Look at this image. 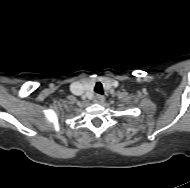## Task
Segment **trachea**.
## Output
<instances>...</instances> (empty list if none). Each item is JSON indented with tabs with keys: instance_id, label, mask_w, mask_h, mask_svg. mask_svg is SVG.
Here are the masks:
<instances>
[{
	"instance_id": "obj_1",
	"label": "trachea",
	"mask_w": 190,
	"mask_h": 188,
	"mask_svg": "<svg viewBox=\"0 0 190 188\" xmlns=\"http://www.w3.org/2000/svg\"><path fill=\"white\" fill-rule=\"evenodd\" d=\"M94 91L98 94H103V86L100 82H97Z\"/></svg>"
}]
</instances>
